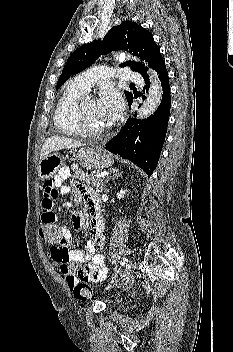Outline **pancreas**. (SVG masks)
<instances>
[{"label": "pancreas", "mask_w": 233, "mask_h": 352, "mask_svg": "<svg viewBox=\"0 0 233 352\" xmlns=\"http://www.w3.org/2000/svg\"><path fill=\"white\" fill-rule=\"evenodd\" d=\"M71 170L73 171V178L86 183H91L94 186H100L103 183L102 177H96L94 175H88L78 168L76 164L71 165Z\"/></svg>", "instance_id": "1"}]
</instances>
